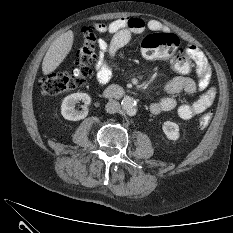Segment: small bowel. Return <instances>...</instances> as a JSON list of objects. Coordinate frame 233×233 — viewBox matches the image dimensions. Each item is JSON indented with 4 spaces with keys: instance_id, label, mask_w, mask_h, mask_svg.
Returning <instances> with one entry per match:
<instances>
[{
    "instance_id": "1",
    "label": "small bowel",
    "mask_w": 233,
    "mask_h": 233,
    "mask_svg": "<svg viewBox=\"0 0 233 233\" xmlns=\"http://www.w3.org/2000/svg\"><path fill=\"white\" fill-rule=\"evenodd\" d=\"M93 28L99 32L112 35L108 42L104 39L98 41L99 54L95 62L96 80L99 85H106L112 76V62L116 53L127 45L135 34L145 30L159 31L163 25L158 20L144 21L135 17H122L105 24H94ZM185 52L191 58L195 68V78L186 75L177 76L164 85V92L168 95L150 104L153 114L176 111L181 119L188 120L204 112L214 103L216 88L209 87L211 69L205 54L196 46L189 45ZM184 92L188 95L202 92L193 103H179L173 95Z\"/></svg>"
}]
</instances>
